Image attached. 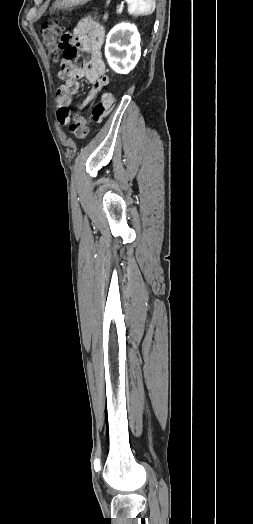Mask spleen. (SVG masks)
Masks as SVG:
<instances>
[{"label":"spleen","mask_w":253,"mask_h":524,"mask_svg":"<svg viewBox=\"0 0 253 524\" xmlns=\"http://www.w3.org/2000/svg\"><path fill=\"white\" fill-rule=\"evenodd\" d=\"M131 15H150L155 10L154 0H126Z\"/></svg>","instance_id":"obj_1"}]
</instances>
